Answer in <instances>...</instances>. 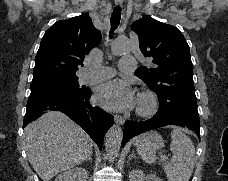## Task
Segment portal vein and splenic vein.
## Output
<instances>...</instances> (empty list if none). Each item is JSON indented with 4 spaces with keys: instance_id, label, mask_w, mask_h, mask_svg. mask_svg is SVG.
I'll return each mask as SVG.
<instances>
[{
    "instance_id": "portal-vein-and-splenic-vein-1",
    "label": "portal vein and splenic vein",
    "mask_w": 228,
    "mask_h": 181,
    "mask_svg": "<svg viewBox=\"0 0 228 181\" xmlns=\"http://www.w3.org/2000/svg\"><path fill=\"white\" fill-rule=\"evenodd\" d=\"M162 161H166V159H168V157H165V155H160Z\"/></svg>"
}]
</instances>
